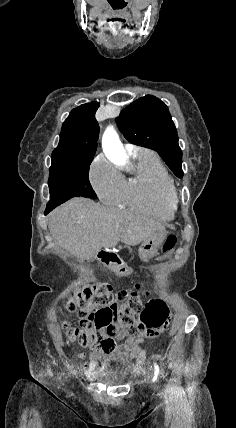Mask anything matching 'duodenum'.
<instances>
[{"label":"duodenum","mask_w":236,"mask_h":428,"mask_svg":"<svg viewBox=\"0 0 236 428\" xmlns=\"http://www.w3.org/2000/svg\"><path fill=\"white\" fill-rule=\"evenodd\" d=\"M95 259L97 262L106 265L114 271L119 270L123 265L120 256L111 249H100L96 253Z\"/></svg>","instance_id":"duodenum-1"}]
</instances>
